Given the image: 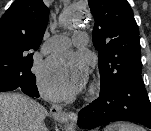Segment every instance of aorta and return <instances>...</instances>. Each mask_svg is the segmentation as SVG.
I'll list each match as a JSON object with an SVG mask.
<instances>
[{"label":"aorta","instance_id":"aorta-1","mask_svg":"<svg viewBox=\"0 0 151 131\" xmlns=\"http://www.w3.org/2000/svg\"><path fill=\"white\" fill-rule=\"evenodd\" d=\"M80 23H81V22H80L79 18L73 20V24H75V25H78V24H80ZM66 131H74V127H73V126H68V127L66 128Z\"/></svg>","mask_w":151,"mask_h":131}]
</instances>
